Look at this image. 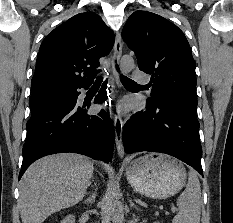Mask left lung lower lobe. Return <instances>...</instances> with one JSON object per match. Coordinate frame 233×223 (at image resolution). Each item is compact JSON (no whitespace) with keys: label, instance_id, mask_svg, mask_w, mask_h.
I'll return each mask as SVG.
<instances>
[{"label":"left lung lower lobe","instance_id":"left-lung-lower-lobe-1","mask_svg":"<svg viewBox=\"0 0 233 223\" xmlns=\"http://www.w3.org/2000/svg\"><path fill=\"white\" fill-rule=\"evenodd\" d=\"M196 108L160 105L135 113L124 125L122 140L126 153L162 152L192 166L202 176V147Z\"/></svg>","mask_w":233,"mask_h":223}]
</instances>
